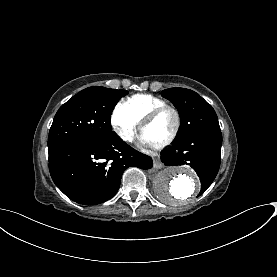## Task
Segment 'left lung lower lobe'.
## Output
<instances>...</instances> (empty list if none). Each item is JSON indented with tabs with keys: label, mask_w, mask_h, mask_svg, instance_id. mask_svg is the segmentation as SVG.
<instances>
[{
	"label": "left lung lower lobe",
	"mask_w": 277,
	"mask_h": 277,
	"mask_svg": "<svg viewBox=\"0 0 277 277\" xmlns=\"http://www.w3.org/2000/svg\"><path fill=\"white\" fill-rule=\"evenodd\" d=\"M221 131H205L177 139L161 152L166 166L190 165L201 181V195L215 179L221 160Z\"/></svg>",
	"instance_id": "left-lung-lower-lobe-1"
}]
</instances>
